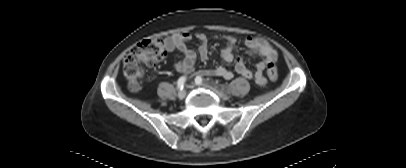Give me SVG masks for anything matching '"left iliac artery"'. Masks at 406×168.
I'll list each match as a JSON object with an SVG mask.
<instances>
[{"instance_id": "left-iliac-artery-1", "label": "left iliac artery", "mask_w": 406, "mask_h": 168, "mask_svg": "<svg viewBox=\"0 0 406 168\" xmlns=\"http://www.w3.org/2000/svg\"><path fill=\"white\" fill-rule=\"evenodd\" d=\"M202 81H203V79H202V77L201 76H197L196 78H195V83L196 84H202Z\"/></svg>"}]
</instances>
